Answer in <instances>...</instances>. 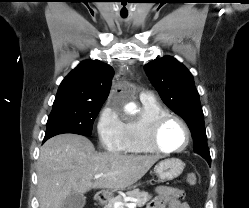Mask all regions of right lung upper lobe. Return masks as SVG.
<instances>
[{
  "label": "right lung upper lobe",
  "instance_id": "obj_1",
  "mask_svg": "<svg viewBox=\"0 0 249 208\" xmlns=\"http://www.w3.org/2000/svg\"><path fill=\"white\" fill-rule=\"evenodd\" d=\"M113 68L100 61L85 60L61 82L53 106L68 103H104Z\"/></svg>",
  "mask_w": 249,
  "mask_h": 208
}]
</instances>
